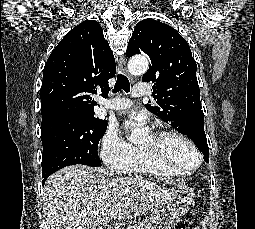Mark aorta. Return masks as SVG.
Listing matches in <instances>:
<instances>
[{
    "mask_svg": "<svg viewBox=\"0 0 255 229\" xmlns=\"http://www.w3.org/2000/svg\"><path fill=\"white\" fill-rule=\"evenodd\" d=\"M149 68L148 59L144 56H136L129 60L128 62V70L132 75L138 76L144 74ZM128 123L132 127L131 135L129 136V140L131 142L138 141L142 136V129L136 126L132 121H128Z\"/></svg>",
    "mask_w": 255,
    "mask_h": 229,
    "instance_id": "obj_1",
    "label": "aorta"
}]
</instances>
